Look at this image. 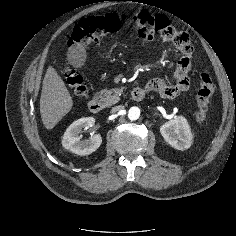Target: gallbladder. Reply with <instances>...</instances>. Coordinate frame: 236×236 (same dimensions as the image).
Here are the masks:
<instances>
[{
  "label": "gallbladder",
  "instance_id": "obj_1",
  "mask_svg": "<svg viewBox=\"0 0 236 236\" xmlns=\"http://www.w3.org/2000/svg\"><path fill=\"white\" fill-rule=\"evenodd\" d=\"M69 63L75 68H81L86 61V52L80 45L71 47L67 52Z\"/></svg>",
  "mask_w": 236,
  "mask_h": 236
}]
</instances>
